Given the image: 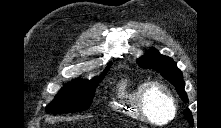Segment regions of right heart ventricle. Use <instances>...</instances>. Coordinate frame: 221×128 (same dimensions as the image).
Listing matches in <instances>:
<instances>
[{"instance_id": "e07e8e85", "label": "right heart ventricle", "mask_w": 221, "mask_h": 128, "mask_svg": "<svg viewBox=\"0 0 221 128\" xmlns=\"http://www.w3.org/2000/svg\"><path fill=\"white\" fill-rule=\"evenodd\" d=\"M144 84V81L134 83L128 77L121 79L117 84L115 98L111 103L118 114L138 119L141 118L138 111L137 98Z\"/></svg>"}]
</instances>
